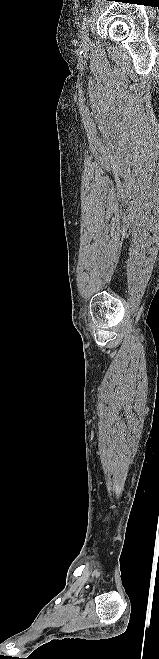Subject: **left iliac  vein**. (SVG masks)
<instances>
[{
    "label": "left iliac vein",
    "instance_id": "obj_1",
    "mask_svg": "<svg viewBox=\"0 0 159 659\" xmlns=\"http://www.w3.org/2000/svg\"><path fill=\"white\" fill-rule=\"evenodd\" d=\"M82 42H83L84 44H88V43L90 42V39H89V36H88L87 33H85V34L82 36Z\"/></svg>",
    "mask_w": 159,
    "mask_h": 659
}]
</instances>
